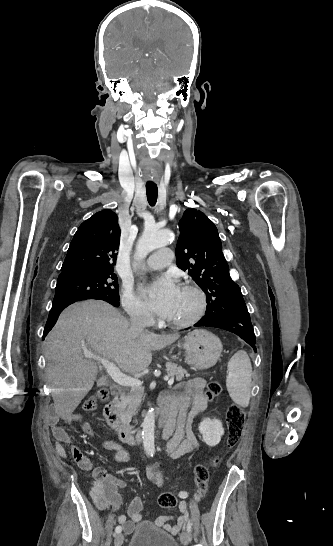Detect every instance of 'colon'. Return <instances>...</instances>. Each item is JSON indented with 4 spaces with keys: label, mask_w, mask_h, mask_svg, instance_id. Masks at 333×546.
<instances>
[{
    "label": "colon",
    "mask_w": 333,
    "mask_h": 546,
    "mask_svg": "<svg viewBox=\"0 0 333 546\" xmlns=\"http://www.w3.org/2000/svg\"><path fill=\"white\" fill-rule=\"evenodd\" d=\"M222 391L220 383L212 381L208 384L204 392V397L207 401L215 399ZM109 398V393L106 389L99 390L95 395L87 398L83 403V408L86 411H92L96 408L98 401H106ZM245 422V413L237 404H231L226 413L227 423V440L226 447L228 449L237 445ZM221 462V456L217 455L211 458L208 466L197 465L194 470L197 496L202 498L208 488L209 472L208 467H217ZM159 505L164 509H171L177 505V498L171 492L162 493L159 496Z\"/></svg>",
    "instance_id": "1"
}]
</instances>
